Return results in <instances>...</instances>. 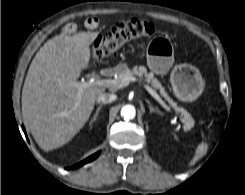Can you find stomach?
I'll return each instance as SVG.
<instances>
[{
	"mask_svg": "<svg viewBox=\"0 0 245 195\" xmlns=\"http://www.w3.org/2000/svg\"><path fill=\"white\" fill-rule=\"evenodd\" d=\"M174 62L173 46L167 39L155 38L147 47L148 67L156 74L168 72ZM126 69V64H119L117 72ZM174 95L183 102L195 101L204 89V82L199 70L190 64L176 65L170 74Z\"/></svg>",
	"mask_w": 245,
	"mask_h": 195,
	"instance_id": "obj_1",
	"label": "stomach"
}]
</instances>
